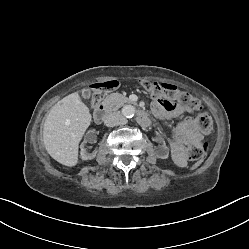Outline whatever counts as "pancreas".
<instances>
[{
	"mask_svg": "<svg viewBox=\"0 0 249 249\" xmlns=\"http://www.w3.org/2000/svg\"><path fill=\"white\" fill-rule=\"evenodd\" d=\"M104 102L113 110H116L123 106L125 103H130V100L122 94L112 93L105 98Z\"/></svg>",
	"mask_w": 249,
	"mask_h": 249,
	"instance_id": "cf45deb5",
	"label": "pancreas"
}]
</instances>
